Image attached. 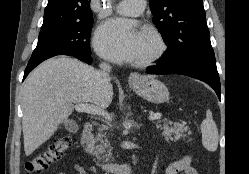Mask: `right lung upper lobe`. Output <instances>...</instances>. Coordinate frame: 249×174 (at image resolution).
<instances>
[{
    "mask_svg": "<svg viewBox=\"0 0 249 174\" xmlns=\"http://www.w3.org/2000/svg\"><path fill=\"white\" fill-rule=\"evenodd\" d=\"M91 17L90 0H48L42 28Z\"/></svg>",
    "mask_w": 249,
    "mask_h": 174,
    "instance_id": "1",
    "label": "right lung upper lobe"
}]
</instances>
